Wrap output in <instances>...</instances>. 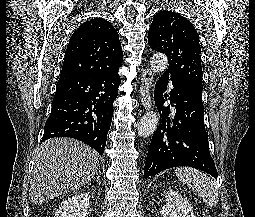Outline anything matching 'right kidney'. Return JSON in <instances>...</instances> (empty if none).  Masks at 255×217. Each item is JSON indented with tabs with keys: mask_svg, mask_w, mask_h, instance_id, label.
<instances>
[{
	"mask_svg": "<svg viewBox=\"0 0 255 217\" xmlns=\"http://www.w3.org/2000/svg\"><path fill=\"white\" fill-rule=\"evenodd\" d=\"M90 195L77 193L61 203L55 217H88Z\"/></svg>",
	"mask_w": 255,
	"mask_h": 217,
	"instance_id": "ca27d5eb",
	"label": "right kidney"
}]
</instances>
